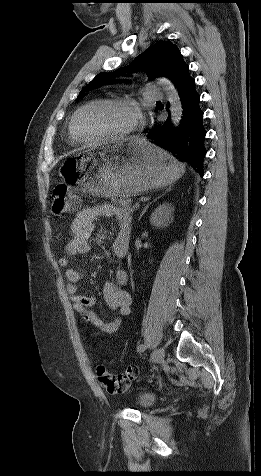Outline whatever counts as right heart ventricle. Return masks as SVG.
Masks as SVG:
<instances>
[{
    "label": "right heart ventricle",
    "mask_w": 261,
    "mask_h": 476,
    "mask_svg": "<svg viewBox=\"0 0 261 476\" xmlns=\"http://www.w3.org/2000/svg\"><path fill=\"white\" fill-rule=\"evenodd\" d=\"M69 140L72 144H76L77 141L74 139L72 133H71V130L69 129Z\"/></svg>",
    "instance_id": "obj_1"
}]
</instances>
